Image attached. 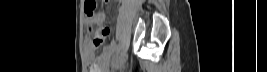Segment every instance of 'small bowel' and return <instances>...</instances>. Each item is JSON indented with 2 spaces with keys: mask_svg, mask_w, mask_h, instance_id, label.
I'll list each match as a JSON object with an SVG mask.
<instances>
[{
  "mask_svg": "<svg viewBox=\"0 0 267 72\" xmlns=\"http://www.w3.org/2000/svg\"><path fill=\"white\" fill-rule=\"evenodd\" d=\"M103 14L99 13L96 14L92 18H88L86 20V23L88 25H95L98 27L102 26L103 23ZM100 30H103L105 34H108V30L104 28H100ZM110 53H111V46L105 47L104 53L95 56V45L90 40L86 41L85 43V55L88 63L91 66V72H105L107 71L109 65H110Z\"/></svg>",
  "mask_w": 267,
  "mask_h": 72,
  "instance_id": "c3829d8e",
  "label": "small bowel"
}]
</instances>
